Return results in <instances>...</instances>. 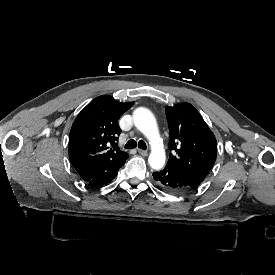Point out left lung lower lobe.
<instances>
[{"label":"left lung lower lobe","mask_w":275,"mask_h":275,"mask_svg":"<svg viewBox=\"0 0 275 275\" xmlns=\"http://www.w3.org/2000/svg\"><path fill=\"white\" fill-rule=\"evenodd\" d=\"M152 175L158 186L165 191L174 194H183L193 189L182 177L167 166L160 172H154Z\"/></svg>","instance_id":"1"}]
</instances>
